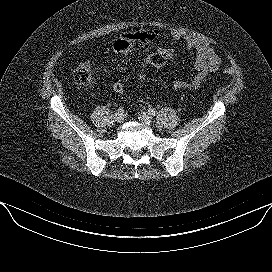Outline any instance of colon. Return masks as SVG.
Masks as SVG:
<instances>
[{
    "instance_id": "colon-1",
    "label": "colon",
    "mask_w": 272,
    "mask_h": 272,
    "mask_svg": "<svg viewBox=\"0 0 272 272\" xmlns=\"http://www.w3.org/2000/svg\"><path fill=\"white\" fill-rule=\"evenodd\" d=\"M156 36L154 31L135 32L134 39L140 44V46H146ZM167 58L160 53L151 54L142 64L141 69L138 73V81L140 83L145 82L146 71L150 67L162 68L166 65ZM227 74H232L231 69H226ZM74 81L82 86H89L94 82V75L92 67L89 63L83 62L79 64L73 72ZM113 90L116 93H122L124 91V85L122 82L117 81L113 84Z\"/></svg>"
}]
</instances>
